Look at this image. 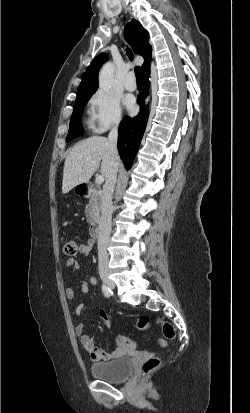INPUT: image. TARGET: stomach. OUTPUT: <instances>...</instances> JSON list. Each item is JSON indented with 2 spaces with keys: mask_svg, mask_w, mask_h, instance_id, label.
<instances>
[{
  "mask_svg": "<svg viewBox=\"0 0 250 413\" xmlns=\"http://www.w3.org/2000/svg\"><path fill=\"white\" fill-rule=\"evenodd\" d=\"M75 189H76V186H75V188H74V192H75L76 194H78Z\"/></svg>",
  "mask_w": 250,
  "mask_h": 413,
  "instance_id": "stomach-1",
  "label": "stomach"
}]
</instances>
